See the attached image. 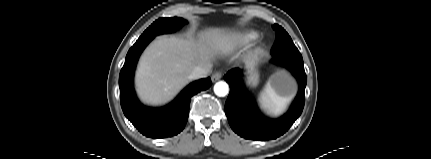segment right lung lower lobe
I'll list each match as a JSON object with an SVG mask.
<instances>
[{
  "instance_id": "98d812e1",
  "label": "right lung lower lobe",
  "mask_w": 431,
  "mask_h": 159,
  "mask_svg": "<svg viewBox=\"0 0 431 159\" xmlns=\"http://www.w3.org/2000/svg\"><path fill=\"white\" fill-rule=\"evenodd\" d=\"M154 37L138 39L127 53L120 72V101L124 115L146 137L160 139L180 133L188 120L190 100L193 95L211 86L205 78L191 83L170 104L162 108L143 106L133 88L134 70L144 48Z\"/></svg>"
}]
</instances>
